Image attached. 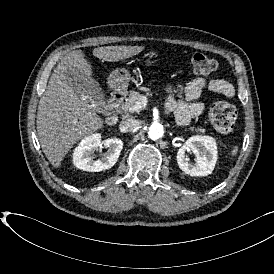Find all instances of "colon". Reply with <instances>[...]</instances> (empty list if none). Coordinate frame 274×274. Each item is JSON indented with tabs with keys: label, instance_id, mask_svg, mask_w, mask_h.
Returning a JSON list of instances; mask_svg holds the SVG:
<instances>
[{
	"label": "colon",
	"instance_id": "5ec220e1",
	"mask_svg": "<svg viewBox=\"0 0 274 274\" xmlns=\"http://www.w3.org/2000/svg\"><path fill=\"white\" fill-rule=\"evenodd\" d=\"M190 62L193 70L201 75H211L218 71L217 61L204 53L193 54ZM209 119L219 132H230L237 121L236 107L227 100L217 101L209 111Z\"/></svg>",
	"mask_w": 274,
	"mask_h": 274
}]
</instances>
